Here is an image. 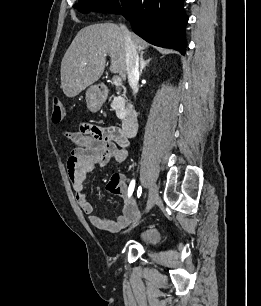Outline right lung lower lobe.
Masks as SVG:
<instances>
[{"label":"right lung lower lobe","mask_w":261,"mask_h":306,"mask_svg":"<svg viewBox=\"0 0 261 306\" xmlns=\"http://www.w3.org/2000/svg\"><path fill=\"white\" fill-rule=\"evenodd\" d=\"M184 0H130L112 13L123 14L133 31L147 42L185 53Z\"/></svg>","instance_id":"obj_1"}]
</instances>
